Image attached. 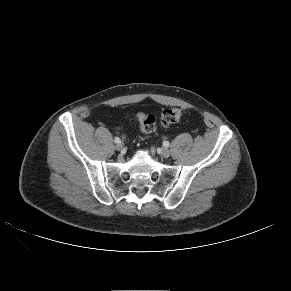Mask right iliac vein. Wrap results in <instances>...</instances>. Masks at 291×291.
<instances>
[{
    "label": "right iliac vein",
    "instance_id": "63e3f726",
    "mask_svg": "<svg viewBox=\"0 0 291 291\" xmlns=\"http://www.w3.org/2000/svg\"><path fill=\"white\" fill-rule=\"evenodd\" d=\"M116 149L118 150V151H121L122 149H123V144L120 142V143H117L116 144Z\"/></svg>",
    "mask_w": 291,
    "mask_h": 291
}]
</instances>
